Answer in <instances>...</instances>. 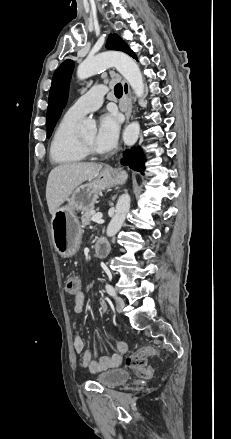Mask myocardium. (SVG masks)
I'll return each mask as SVG.
<instances>
[{"label": "myocardium", "instance_id": "obj_1", "mask_svg": "<svg viewBox=\"0 0 231 439\" xmlns=\"http://www.w3.org/2000/svg\"><path fill=\"white\" fill-rule=\"evenodd\" d=\"M78 141L82 148V150L85 152L86 155H98L99 152L89 145L87 142L84 141V139L81 137V135H78Z\"/></svg>", "mask_w": 231, "mask_h": 439}]
</instances>
